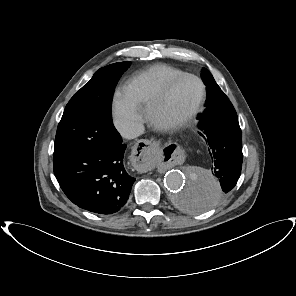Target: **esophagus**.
Here are the masks:
<instances>
[{"instance_id": "esophagus-1", "label": "esophagus", "mask_w": 296, "mask_h": 296, "mask_svg": "<svg viewBox=\"0 0 296 296\" xmlns=\"http://www.w3.org/2000/svg\"><path fill=\"white\" fill-rule=\"evenodd\" d=\"M157 143L153 140H141L132 148V168L139 173L147 172L157 160Z\"/></svg>"}]
</instances>
